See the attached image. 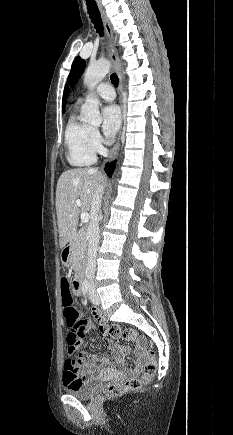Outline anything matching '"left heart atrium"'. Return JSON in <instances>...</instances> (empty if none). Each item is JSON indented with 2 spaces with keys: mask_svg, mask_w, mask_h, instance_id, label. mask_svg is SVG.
Masks as SVG:
<instances>
[{
  "mask_svg": "<svg viewBox=\"0 0 233 435\" xmlns=\"http://www.w3.org/2000/svg\"><path fill=\"white\" fill-rule=\"evenodd\" d=\"M121 122L119 108L109 105L102 110V130L106 138L112 139L117 133Z\"/></svg>",
  "mask_w": 233,
  "mask_h": 435,
  "instance_id": "left-heart-atrium-1",
  "label": "left heart atrium"
}]
</instances>
